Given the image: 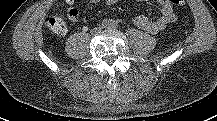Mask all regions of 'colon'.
<instances>
[{"label":"colon","instance_id":"5ec220e1","mask_svg":"<svg viewBox=\"0 0 217 121\" xmlns=\"http://www.w3.org/2000/svg\"><path fill=\"white\" fill-rule=\"evenodd\" d=\"M169 2L175 6L185 5V0H169ZM48 27L53 33L64 35L67 32V27L63 13L55 12L52 14L48 19Z\"/></svg>","mask_w":217,"mask_h":121}]
</instances>
